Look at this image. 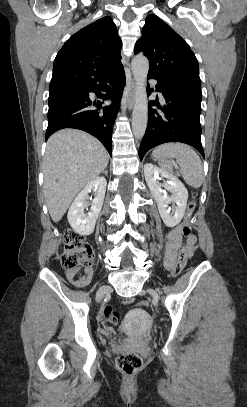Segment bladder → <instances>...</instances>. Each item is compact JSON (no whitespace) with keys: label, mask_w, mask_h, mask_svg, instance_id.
I'll return each mask as SVG.
<instances>
[{"label":"bladder","mask_w":247,"mask_h":407,"mask_svg":"<svg viewBox=\"0 0 247 407\" xmlns=\"http://www.w3.org/2000/svg\"><path fill=\"white\" fill-rule=\"evenodd\" d=\"M119 337H121V338H122V337H123V335H119Z\"/></svg>","instance_id":"obj_1"}]
</instances>
